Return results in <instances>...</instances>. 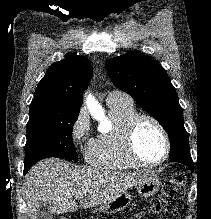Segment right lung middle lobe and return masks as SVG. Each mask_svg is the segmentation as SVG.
Here are the masks:
<instances>
[{"label": "right lung middle lobe", "mask_w": 211, "mask_h": 219, "mask_svg": "<svg viewBox=\"0 0 211 219\" xmlns=\"http://www.w3.org/2000/svg\"><path fill=\"white\" fill-rule=\"evenodd\" d=\"M79 111H57L46 104L30 105L25 145V167L48 157L77 160L72 127Z\"/></svg>", "instance_id": "right-lung-middle-lobe-1"}]
</instances>
